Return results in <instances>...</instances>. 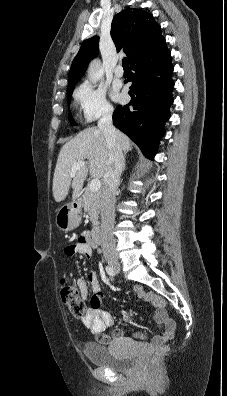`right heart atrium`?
I'll return each instance as SVG.
<instances>
[{
  "label": "right heart atrium",
  "instance_id": "obj_1",
  "mask_svg": "<svg viewBox=\"0 0 227 396\" xmlns=\"http://www.w3.org/2000/svg\"><path fill=\"white\" fill-rule=\"evenodd\" d=\"M74 98L86 122H94L113 113V107L106 97V89L101 85L85 81L75 91Z\"/></svg>",
  "mask_w": 227,
  "mask_h": 396
}]
</instances>
